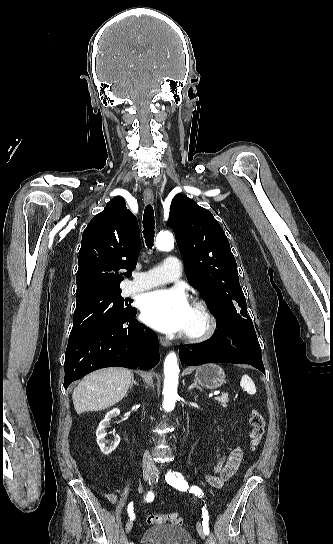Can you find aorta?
Returning <instances> with one entry per match:
<instances>
[{
  "mask_svg": "<svg viewBox=\"0 0 333 544\" xmlns=\"http://www.w3.org/2000/svg\"><path fill=\"white\" fill-rule=\"evenodd\" d=\"M174 244L173 236L170 232H160L156 238V247L158 250L164 251L170 249ZM164 387H163V408L166 411L174 409L177 399V386L179 367L177 356L174 352L167 355L164 362Z\"/></svg>",
  "mask_w": 333,
  "mask_h": 544,
  "instance_id": "obj_1",
  "label": "aorta"
}]
</instances>
